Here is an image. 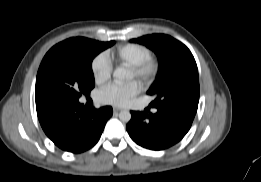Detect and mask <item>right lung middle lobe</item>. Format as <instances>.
<instances>
[{
	"label": "right lung middle lobe",
	"mask_w": 261,
	"mask_h": 182,
	"mask_svg": "<svg viewBox=\"0 0 261 182\" xmlns=\"http://www.w3.org/2000/svg\"><path fill=\"white\" fill-rule=\"evenodd\" d=\"M115 42H99L87 38H70L53 46L39 67L36 103L50 106L78 102L95 86L92 60Z\"/></svg>",
	"instance_id": "right-lung-middle-lobe-1"
}]
</instances>
